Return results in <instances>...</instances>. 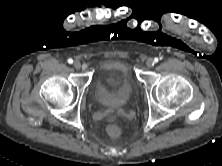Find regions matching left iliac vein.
<instances>
[{
  "label": "left iliac vein",
  "mask_w": 222,
  "mask_h": 166,
  "mask_svg": "<svg viewBox=\"0 0 222 166\" xmlns=\"http://www.w3.org/2000/svg\"><path fill=\"white\" fill-rule=\"evenodd\" d=\"M153 64H154V61H153V59H151V58H149V59L146 61V66H147L148 68H151V67L153 66Z\"/></svg>",
  "instance_id": "4c4485c4"
}]
</instances>
